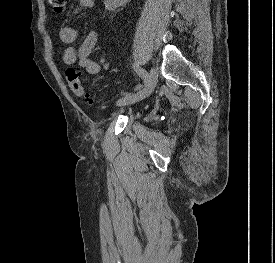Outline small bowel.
Masks as SVG:
<instances>
[{"mask_svg": "<svg viewBox=\"0 0 275 263\" xmlns=\"http://www.w3.org/2000/svg\"><path fill=\"white\" fill-rule=\"evenodd\" d=\"M93 6L94 0H79L76 9L73 11V15H79ZM60 38L64 44L68 45L63 53V62L66 65L77 66L92 76L99 75L102 70L108 68V62H97L90 58L98 40L96 30L89 31L77 47L74 45L78 39V31L75 27H63L60 30Z\"/></svg>", "mask_w": 275, "mask_h": 263, "instance_id": "1", "label": "small bowel"}]
</instances>
